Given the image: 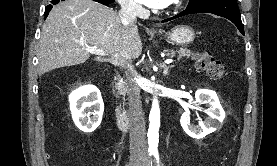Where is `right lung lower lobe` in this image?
<instances>
[{
	"label": "right lung lower lobe",
	"instance_id": "1",
	"mask_svg": "<svg viewBox=\"0 0 277 166\" xmlns=\"http://www.w3.org/2000/svg\"><path fill=\"white\" fill-rule=\"evenodd\" d=\"M60 1H63V0H51L50 1L51 3L48 6H46V9H45V17L48 16V14H49L51 8L53 7V5L59 3ZM94 1L102 3L104 5L114 2V0H94Z\"/></svg>",
	"mask_w": 277,
	"mask_h": 166
}]
</instances>
